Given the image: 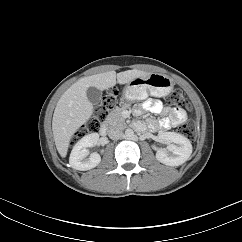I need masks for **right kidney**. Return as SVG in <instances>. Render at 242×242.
Masks as SVG:
<instances>
[{
	"mask_svg": "<svg viewBox=\"0 0 242 242\" xmlns=\"http://www.w3.org/2000/svg\"><path fill=\"white\" fill-rule=\"evenodd\" d=\"M98 140L99 134L91 133L84 136L75 144L69 158V164L73 169L80 171L90 170L100 163L101 156L97 152L91 153L87 158L89 155L87 148L95 146Z\"/></svg>",
	"mask_w": 242,
	"mask_h": 242,
	"instance_id": "1",
	"label": "right kidney"
}]
</instances>
